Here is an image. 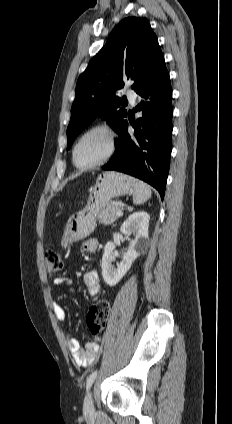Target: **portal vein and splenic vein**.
Returning a JSON list of instances; mask_svg holds the SVG:
<instances>
[{"label": "portal vein and splenic vein", "instance_id": "18ae733b", "mask_svg": "<svg viewBox=\"0 0 232 424\" xmlns=\"http://www.w3.org/2000/svg\"><path fill=\"white\" fill-rule=\"evenodd\" d=\"M116 215H117L118 217L122 216V215H123L122 210H118V211L116 212Z\"/></svg>", "mask_w": 232, "mask_h": 424}]
</instances>
